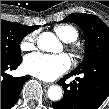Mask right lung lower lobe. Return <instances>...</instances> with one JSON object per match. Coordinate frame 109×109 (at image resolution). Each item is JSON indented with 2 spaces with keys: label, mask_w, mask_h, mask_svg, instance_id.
<instances>
[{
  "label": "right lung lower lobe",
  "mask_w": 109,
  "mask_h": 109,
  "mask_svg": "<svg viewBox=\"0 0 109 109\" xmlns=\"http://www.w3.org/2000/svg\"><path fill=\"white\" fill-rule=\"evenodd\" d=\"M21 63V59L14 61L1 60V109H10L16 102L26 77H12L5 73L6 70H14Z\"/></svg>",
  "instance_id": "obj_1"
}]
</instances>
